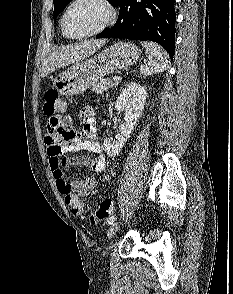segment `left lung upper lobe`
Here are the masks:
<instances>
[{"instance_id": "obj_1", "label": "left lung upper lobe", "mask_w": 233, "mask_h": 294, "mask_svg": "<svg viewBox=\"0 0 233 294\" xmlns=\"http://www.w3.org/2000/svg\"><path fill=\"white\" fill-rule=\"evenodd\" d=\"M72 0H53L54 3V19ZM112 4H118L120 0H108Z\"/></svg>"}]
</instances>
